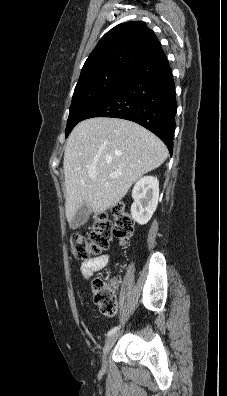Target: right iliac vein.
<instances>
[{
    "instance_id": "right-iliac-vein-1",
    "label": "right iliac vein",
    "mask_w": 227,
    "mask_h": 396,
    "mask_svg": "<svg viewBox=\"0 0 227 396\" xmlns=\"http://www.w3.org/2000/svg\"><path fill=\"white\" fill-rule=\"evenodd\" d=\"M119 334L114 333L113 335L109 336L105 342L104 348H103V355H102V361L103 364L106 363L107 355L109 354L111 348L115 344Z\"/></svg>"
}]
</instances>
